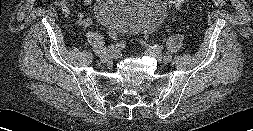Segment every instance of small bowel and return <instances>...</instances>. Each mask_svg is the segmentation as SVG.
<instances>
[{"mask_svg":"<svg viewBox=\"0 0 253 131\" xmlns=\"http://www.w3.org/2000/svg\"><path fill=\"white\" fill-rule=\"evenodd\" d=\"M86 5H91L93 0H83ZM57 7L62 11V13L69 17L72 15V7L69 0H59L56 2ZM75 20L77 23L83 26H89L91 21L84 16L82 13H77L75 15Z\"/></svg>","mask_w":253,"mask_h":131,"instance_id":"c3829d8e","label":"small bowel"}]
</instances>
